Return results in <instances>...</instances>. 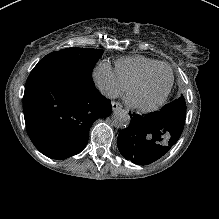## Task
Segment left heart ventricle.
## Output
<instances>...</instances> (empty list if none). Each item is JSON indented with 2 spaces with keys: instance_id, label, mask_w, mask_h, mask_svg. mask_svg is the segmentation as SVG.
<instances>
[{
  "instance_id": "1",
  "label": "left heart ventricle",
  "mask_w": 219,
  "mask_h": 219,
  "mask_svg": "<svg viewBox=\"0 0 219 219\" xmlns=\"http://www.w3.org/2000/svg\"><path fill=\"white\" fill-rule=\"evenodd\" d=\"M171 80L170 71L162 67L153 76L142 81L132 90L131 98L139 104L156 102L167 90Z\"/></svg>"
}]
</instances>
